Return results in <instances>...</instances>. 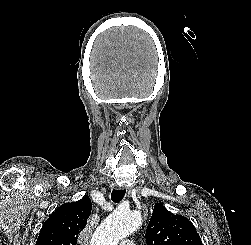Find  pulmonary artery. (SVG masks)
<instances>
[{"instance_id": "obj_1", "label": "pulmonary artery", "mask_w": 251, "mask_h": 245, "mask_svg": "<svg viewBox=\"0 0 251 245\" xmlns=\"http://www.w3.org/2000/svg\"><path fill=\"white\" fill-rule=\"evenodd\" d=\"M120 245H134V243L131 242L130 240H124V241L121 242Z\"/></svg>"}]
</instances>
